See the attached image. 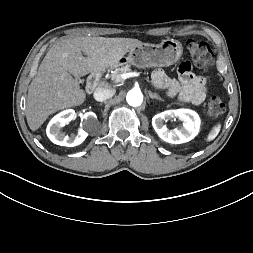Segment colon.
Returning <instances> with one entry per match:
<instances>
[{"mask_svg": "<svg viewBox=\"0 0 253 253\" xmlns=\"http://www.w3.org/2000/svg\"><path fill=\"white\" fill-rule=\"evenodd\" d=\"M188 55L198 68L208 69L214 64L213 52L209 45L203 41L188 40L186 43ZM225 110L223 101L218 97H212L207 104V111L211 116H219Z\"/></svg>", "mask_w": 253, "mask_h": 253, "instance_id": "1", "label": "colon"}]
</instances>
